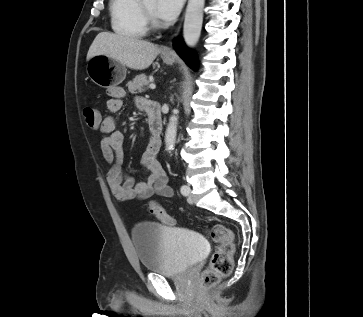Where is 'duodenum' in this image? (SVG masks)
<instances>
[{"label":"duodenum","mask_w":363,"mask_h":317,"mask_svg":"<svg viewBox=\"0 0 363 317\" xmlns=\"http://www.w3.org/2000/svg\"><path fill=\"white\" fill-rule=\"evenodd\" d=\"M146 109L148 115L150 144L157 148H160L163 129L160 105L156 102H147Z\"/></svg>","instance_id":"obj_1"}]
</instances>
